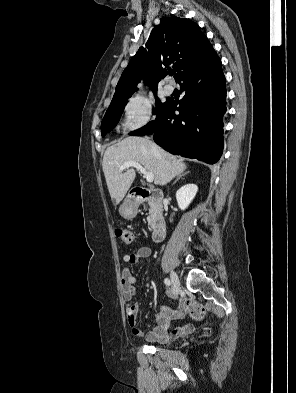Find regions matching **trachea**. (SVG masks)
I'll list each match as a JSON object with an SVG mask.
<instances>
[{
	"instance_id": "trachea-1",
	"label": "trachea",
	"mask_w": 296,
	"mask_h": 393,
	"mask_svg": "<svg viewBox=\"0 0 296 393\" xmlns=\"http://www.w3.org/2000/svg\"><path fill=\"white\" fill-rule=\"evenodd\" d=\"M169 75L172 76V75H173V72H170Z\"/></svg>"
}]
</instances>
